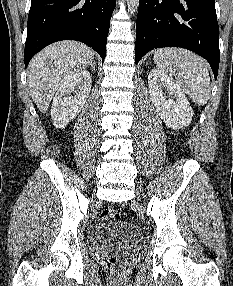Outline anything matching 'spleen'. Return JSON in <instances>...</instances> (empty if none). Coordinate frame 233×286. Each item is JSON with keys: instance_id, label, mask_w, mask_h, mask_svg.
<instances>
[{"instance_id": "3e777b00", "label": "spleen", "mask_w": 233, "mask_h": 286, "mask_svg": "<svg viewBox=\"0 0 233 286\" xmlns=\"http://www.w3.org/2000/svg\"><path fill=\"white\" fill-rule=\"evenodd\" d=\"M154 62L159 71L175 75L177 84L194 103L201 106L207 103L210 94L209 66L202 57L187 49L167 47L154 52Z\"/></svg>"}]
</instances>
